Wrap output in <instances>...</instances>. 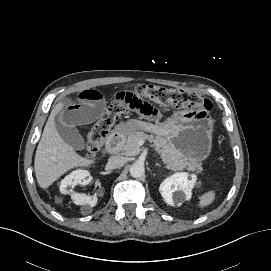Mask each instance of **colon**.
Masks as SVG:
<instances>
[{
	"label": "colon",
	"instance_id": "5ec220e1",
	"mask_svg": "<svg viewBox=\"0 0 271 271\" xmlns=\"http://www.w3.org/2000/svg\"><path fill=\"white\" fill-rule=\"evenodd\" d=\"M136 91L144 98L162 105L183 107L192 105L204 111H210L212 105L204 97L187 90L165 88L160 86H140ZM126 113V106L120 102H113L92 126L87 137V153L94 156L102 147L113 124Z\"/></svg>",
	"mask_w": 271,
	"mask_h": 271
}]
</instances>
